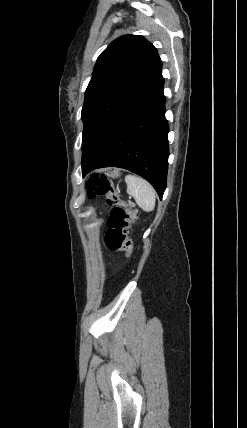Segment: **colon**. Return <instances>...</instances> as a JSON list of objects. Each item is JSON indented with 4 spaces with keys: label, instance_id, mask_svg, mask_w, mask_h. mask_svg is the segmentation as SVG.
<instances>
[{
    "label": "colon",
    "instance_id": "colon-1",
    "mask_svg": "<svg viewBox=\"0 0 247 428\" xmlns=\"http://www.w3.org/2000/svg\"><path fill=\"white\" fill-rule=\"evenodd\" d=\"M90 197L105 196L112 206L107 220L104 241L110 251L134 253V244L128 239L130 225L136 218V211L123 201L114 184L105 176L92 175L87 182Z\"/></svg>",
    "mask_w": 247,
    "mask_h": 428
}]
</instances>
